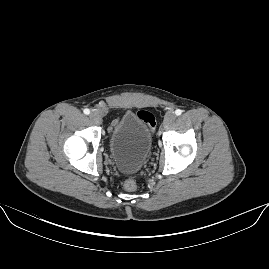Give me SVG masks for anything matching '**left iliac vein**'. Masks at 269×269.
Listing matches in <instances>:
<instances>
[{
    "instance_id": "4c4485c4",
    "label": "left iliac vein",
    "mask_w": 269,
    "mask_h": 269,
    "mask_svg": "<svg viewBox=\"0 0 269 269\" xmlns=\"http://www.w3.org/2000/svg\"><path fill=\"white\" fill-rule=\"evenodd\" d=\"M175 122V115L172 112H167L163 121V127H171Z\"/></svg>"
}]
</instances>
